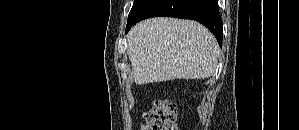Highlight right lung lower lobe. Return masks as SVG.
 Returning <instances> with one entry per match:
<instances>
[{
    "label": "right lung lower lobe",
    "instance_id": "right-lung-lower-lobe-1",
    "mask_svg": "<svg viewBox=\"0 0 299 130\" xmlns=\"http://www.w3.org/2000/svg\"><path fill=\"white\" fill-rule=\"evenodd\" d=\"M157 16L196 20L206 26L222 46V19L217 0H147L127 23L126 32L140 20Z\"/></svg>",
    "mask_w": 299,
    "mask_h": 130
}]
</instances>
